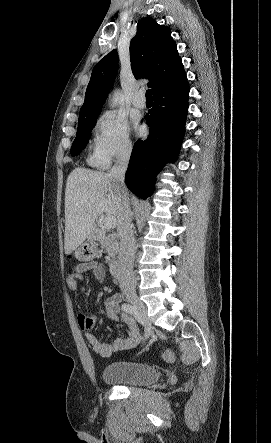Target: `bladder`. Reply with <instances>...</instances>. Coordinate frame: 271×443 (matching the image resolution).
Listing matches in <instances>:
<instances>
[{"label": "bladder", "instance_id": "31cf9c89", "mask_svg": "<svg viewBox=\"0 0 271 443\" xmlns=\"http://www.w3.org/2000/svg\"><path fill=\"white\" fill-rule=\"evenodd\" d=\"M159 372L150 364L138 361H118L106 365L102 379L110 385H149L159 380Z\"/></svg>", "mask_w": 271, "mask_h": 443}]
</instances>
